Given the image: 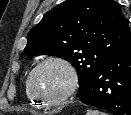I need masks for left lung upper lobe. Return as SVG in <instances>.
<instances>
[{
    "mask_svg": "<svg viewBox=\"0 0 131 115\" xmlns=\"http://www.w3.org/2000/svg\"><path fill=\"white\" fill-rule=\"evenodd\" d=\"M130 35L114 0H67L30 30L25 51L69 61L77 70L80 94Z\"/></svg>",
    "mask_w": 131,
    "mask_h": 115,
    "instance_id": "5c2ea615",
    "label": "left lung upper lobe"
}]
</instances>
